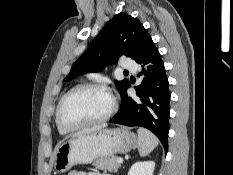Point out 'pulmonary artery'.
I'll return each instance as SVG.
<instances>
[{
    "label": "pulmonary artery",
    "instance_id": "1",
    "mask_svg": "<svg viewBox=\"0 0 233 175\" xmlns=\"http://www.w3.org/2000/svg\"><path fill=\"white\" fill-rule=\"evenodd\" d=\"M120 66L124 69L134 71L136 69V63L132 60L123 59Z\"/></svg>",
    "mask_w": 233,
    "mask_h": 175
}]
</instances>
